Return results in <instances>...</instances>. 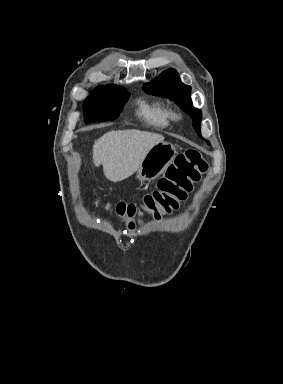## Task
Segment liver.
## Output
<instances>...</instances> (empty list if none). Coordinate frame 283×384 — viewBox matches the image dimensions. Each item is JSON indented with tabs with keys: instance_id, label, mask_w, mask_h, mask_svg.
Here are the masks:
<instances>
[{
	"instance_id": "1",
	"label": "liver",
	"mask_w": 283,
	"mask_h": 384,
	"mask_svg": "<svg viewBox=\"0 0 283 384\" xmlns=\"http://www.w3.org/2000/svg\"><path fill=\"white\" fill-rule=\"evenodd\" d=\"M164 136L140 130L108 132L93 146L94 166H103L105 178L121 182L137 172L150 148L163 142Z\"/></svg>"
}]
</instances>
